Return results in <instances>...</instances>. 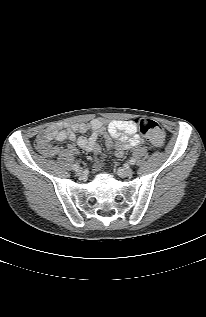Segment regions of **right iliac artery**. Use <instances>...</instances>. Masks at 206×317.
Returning <instances> with one entry per match:
<instances>
[{"label": "right iliac artery", "mask_w": 206, "mask_h": 317, "mask_svg": "<svg viewBox=\"0 0 206 317\" xmlns=\"http://www.w3.org/2000/svg\"><path fill=\"white\" fill-rule=\"evenodd\" d=\"M72 168H73V170H77V169H79V165L78 164H74L73 166H72Z\"/></svg>", "instance_id": "1"}]
</instances>
